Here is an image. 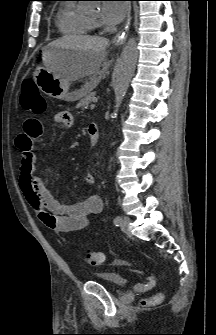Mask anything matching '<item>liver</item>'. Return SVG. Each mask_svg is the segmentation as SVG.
Masks as SVG:
<instances>
[{"label":"liver","instance_id":"6515ba94","mask_svg":"<svg viewBox=\"0 0 216 335\" xmlns=\"http://www.w3.org/2000/svg\"><path fill=\"white\" fill-rule=\"evenodd\" d=\"M109 41L102 37L64 36L49 44V46L72 48L77 53L72 57L61 76L75 81L90 76L99 71L106 58V47Z\"/></svg>","mask_w":216,"mask_h":335}]
</instances>
